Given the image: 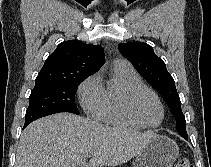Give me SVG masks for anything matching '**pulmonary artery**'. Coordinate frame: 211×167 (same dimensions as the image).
<instances>
[{
  "instance_id": "e3ab8cb5",
  "label": "pulmonary artery",
  "mask_w": 211,
  "mask_h": 167,
  "mask_svg": "<svg viewBox=\"0 0 211 167\" xmlns=\"http://www.w3.org/2000/svg\"><path fill=\"white\" fill-rule=\"evenodd\" d=\"M114 66L117 68L132 69L131 64L127 60H124V59L116 60L114 63Z\"/></svg>"
}]
</instances>
